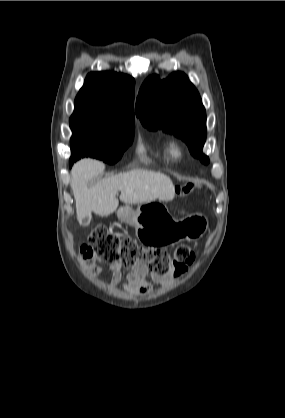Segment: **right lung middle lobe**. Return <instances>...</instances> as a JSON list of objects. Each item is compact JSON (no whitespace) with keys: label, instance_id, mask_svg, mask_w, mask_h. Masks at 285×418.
Returning a JSON list of instances; mask_svg holds the SVG:
<instances>
[{"label":"right lung middle lobe","instance_id":"obj_1","mask_svg":"<svg viewBox=\"0 0 285 418\" xmlns=\"http://www.w3.org/2000/svg\"><path fill=\"white\" fill-rule=\"evenodd\" d=\"M71 162L92 157L108 164L116 163L131 144L134 126L126 127L106 121L71 117Z\"/></svg>","mask_w":285,"mask_h":418}]
</instances>
